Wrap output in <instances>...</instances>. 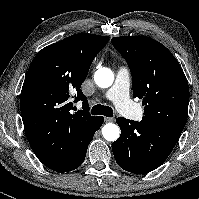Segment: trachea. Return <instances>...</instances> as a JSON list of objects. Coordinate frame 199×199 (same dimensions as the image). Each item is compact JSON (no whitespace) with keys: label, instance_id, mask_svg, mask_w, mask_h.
<instances>
[{"label":"trachea","instance_id":"3493384b","mask_svg":"<svg viewBox=\"0 0 199 199\" xmlns=\"http://www.w3.org/2000/svg\"><path fill=\"white\" fill-rule=\"evenodd\" d=\"M92 115H104L106 117H113V110L109 106H104L101 104L95 105L91 109Z\"/></svg>","mask_w":199,"mask_h":199}]
</instances>
